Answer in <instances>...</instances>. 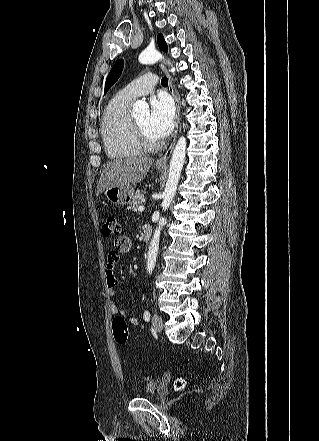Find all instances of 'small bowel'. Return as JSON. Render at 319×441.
Masks as SVG:
<instances>
[{
    "label": "small bowel",
    "mask_w": 319,
    "mask_h": 441,
    "mask_svg": "<svg viewBox=\"0 0 319 441\" xmlns=\"http://www.w3.org/2000/svg\"><path fill=\"white\" fill-rule=\"evenodd\" d=\"M132 241L129 236L122 235L114 242V249L108 253L107 268H106V283H107V295L112 299L110 304V312L112 315L123 314L127 321L134 326L139 325V320L136 316L127 314L119 305L115 299L116 286L118 280L114 274V268L120 260L122 253L128 252L131 249Z\"/></svg>",
    "instance_id": "1"
}]
</instances>
